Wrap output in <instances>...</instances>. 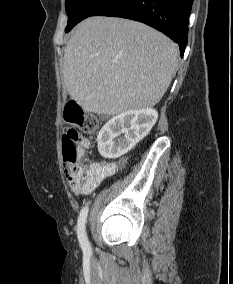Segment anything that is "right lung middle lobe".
Masks as SVG:
<instances>
[{
	"mask_svg": "<svg viewBox=\"0 0 233 284\" xmlns=\"http://www.w3.org/2000/svg\"><path fill=\"white\" fill-rule=\"evenodd\" d=\"M107 0H66L65 9L68 14V24L65 32H69L77 23L90 16Z\"/></svg>",
	"mask_w": 233,
	"mask_h": 284,
	"instance_id": "dd1d6c3e",
	"label": "right lung middle lobe"
}]
</instances>
